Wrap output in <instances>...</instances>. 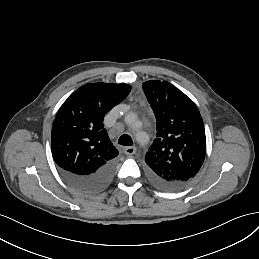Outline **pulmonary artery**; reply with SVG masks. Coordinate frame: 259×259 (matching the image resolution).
Returning a JSON list of instances; mask_svg holds the SVG:
<instances>
[{
	"instance_id": "e3ab8cb5",
	"label": "pulmonary artery",
	"mask_w": 259,
	"mask_h": 259,
	"mask_svg": "<svg viewBox=\"0 0 259 259\" xmlns=\"http://www.w3.org/2000/svg\"><path fill=\"white\" fill-rule=\"evenodd\" d=\"M130 131H131V133H133V136H134L135 138H137V137H138V136H136V135L134 134V132H133L134 130H133V128H132V127L130 128ZM144 136L146 137V135H145V134H144Z\"/></svg>"
}]
</instances>
